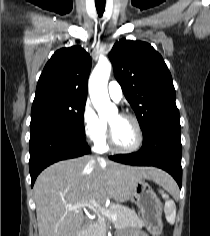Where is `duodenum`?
<instances>
[{
	"mask_svg": "<svg viewBox=\"0 0 210 236\" xmlns=\"http://www.w3.org/2000/svg\"><path fill=\"white\" fill-rule=\"evenodd\" d=\"M79 236H84V234H83V233H81V234H79Z\"/></svg>",
	"mask_w": 210,
	"mask_h": 236,
	"instance_id": "obj_1",
	"label": "duodenum"
}]
</instances>
